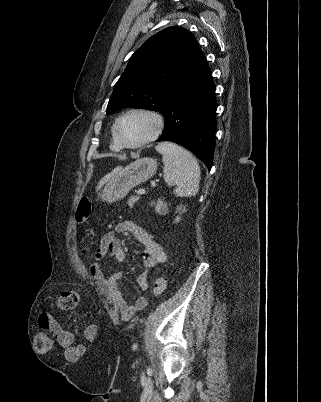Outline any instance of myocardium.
Segmentation results:
<instances>
[{"label":"myocardium","mask_w":321,"mask_h":402,"mask_svg":"<svg viewBox=\"0 0 321 402\" xmlns=\"http://www.w3.org/2000/svg\"><path fill=\"white\" fill-rule=\"evenodd\" d=\"M131 114H143V115L149 116L154 122V129L150 135H148L141 141L134 143V144H127L122 141V139L119 135L118 129H119L120 122L125 117H127ZM164 126H165L164 118L156 110H153V109L147 108V107H132V108H129V109L125 110L124 112H122L116 118L112 130H113L114 138H115L116 142L118 143V145L120 146V148H122V149H139V148H143L146 145L155 141L162 133Z\"/></svg>","instance_id":"myocardium-1"}]
</instances>
